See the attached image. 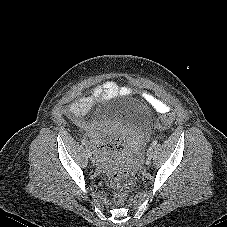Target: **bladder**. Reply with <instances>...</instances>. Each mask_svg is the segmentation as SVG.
I'll return each instance as SVG.
<instances>
[{"label": "bladder", "instance_id": "1", "mask_svg": "<svg viewBox=\"0 0 227 227\" xmlns=\"http://www.w3.org/2000/svg\"><path fill=\"white\" fill-rule=\"evenodd\" d=\"M128 101L105 102L95 107L91 112V122L98 125L105 122L125 124L144 134L150 133L153 127V119L150 113Z\"/></svg>", "mask_w": 227, "mask_h": 227}]
</instances>
